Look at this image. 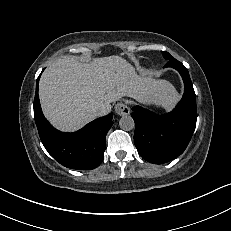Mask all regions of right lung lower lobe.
Here are the masks:
<instances>
[{"instance_id": "1", "label": "right lung lower lobe", "mask_w": 231, "mask_h": 231, "mask_svg": "<svg viewBox=\"0 0 231 231\" xmlns=\"http://www.w3.org/2000/svg\"><path fill=\"white\" fill-rule=\"evenodd\" d=\"M34 99V118L40 139L48 153L65 167L91 170L104 159L106 134L113 125L112 114L100 117L74 133L53 128L45 119L39 102L38 84Z\"/></svg>"}]
</instances>
